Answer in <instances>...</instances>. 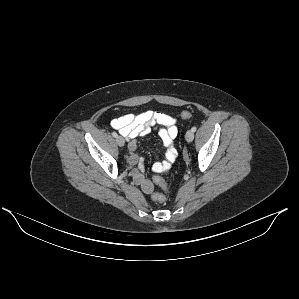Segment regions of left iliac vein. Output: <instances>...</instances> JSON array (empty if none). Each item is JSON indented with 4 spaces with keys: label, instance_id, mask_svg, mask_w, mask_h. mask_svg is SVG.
<instances>
[{
    "label": "left iliac vein",
    "instance_id": "4c4485c4",
    "mask_svg": "<svg viewBox=\"0 0 299 299\" xmlns=\"http://www.w3.org/2000/svg\"><path fill=\"white\" fill-rule=\"evenodd\" d=\"M185 139L187 142H192L194 139V132L192 130H188L185 134Z\"/></svg>",
    "mask_w": 299,
    "mask_h": 299
}]
</instances>
